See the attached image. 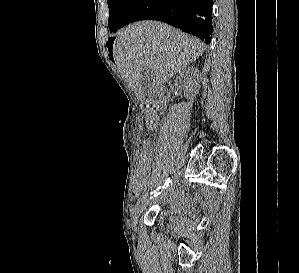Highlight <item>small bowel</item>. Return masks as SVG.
I'll return each instance as SVG.
<instances>
[{"instance_id": "1", "label": "small bowel", "mask_w": 299, "mask_h": 273, "mask_svg": "<svg viewBox=\"0 0 299 273\" xmlns=\"http://www.w3.org/2000/svg\"><path fill=\"white\" fill-rule=\"evenodd\" d=\"M146 125L149 130H155L158 127L159 115L154 108L146 111ZM152 151L142 150L139 159V169L135 178L133 196H138L145 192L150 184L148 173L152 172Z\"/></svg>"}]
</instances>
